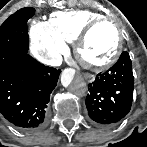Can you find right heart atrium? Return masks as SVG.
<instances>
[{
    "label": "right heart atrium",
    "instance_id": "d8ad5b80",
    "mask_svg": "<svg viewBox=\"0 0 147 147\" xmlns=\"http://www.w3.org/2000/svg\"><path fill=\"white\" fill-rule=\"evenodd\" d=\"M31 50L40 61L51 64L62 51V45L45 34L41 24L31 29Z\"/></svg>",
    "mask_w": 147,
    "mask_h": 147
}]
</instances>
